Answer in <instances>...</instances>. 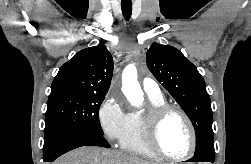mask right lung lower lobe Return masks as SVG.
<instances>
[{
  "instance_id": "98d812e1",
  "label": "right lung lower lobe",
  "mask_w": 251,
  "mask_h": 164,
  "mask_svg": "<svg viewBox=\"0 0 251 164\" xmlns=\"http://www.w3.org/2000/svg\"><path fill=\"white\" fill-rule=\"evenodd\" d=\"M44 162L82 146L110 147L102 134L90 130L55 128L44 134Z\"/></svg>"
}]
</instances>
